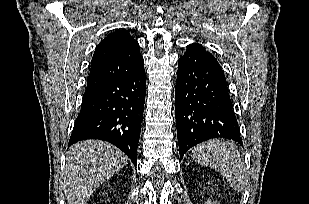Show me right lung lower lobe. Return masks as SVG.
Returning a JSON list of instances; mask_svg holds the SVG:
<instances>
[{"mask_svg": "<svg viewBox=\"0 0 309 204\" xmlns=\"http://www.w3.org/2000/svg\"><path fill=\"white\" fill-rule=\"evenodd\" d=\"M145 94L144 66L86 89L68 147L86 139L108 141L136 166Z\"/></svg>", "mask_w": 309, "mask_h": 204, "instance_id": "right-lung-lower-lobe-1", "label": "right lung lower lobe"}]
</instances>
